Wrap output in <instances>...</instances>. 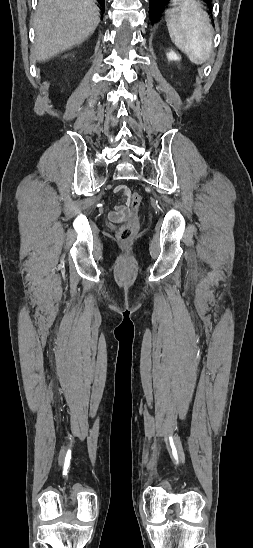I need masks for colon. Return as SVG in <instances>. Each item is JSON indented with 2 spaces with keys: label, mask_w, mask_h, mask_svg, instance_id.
Returning <instances> with one entry per match:
<instances>
[{
  "label": "colon",
  "mask_w": 253,
  "mask_h": 548,
  "mask_svg": "<svg viewBox=\"0 0 253 548\" xmlns=\"http://www.w3.org/2000/svg\"><path fill=\"white\" fill-rule=\"evenodd\" d=\"M131 206L134 209H137L142 202V196L135 192L131 195L130 198ZM135 232V224L134 223H127L120 227L117 237L122 243H130L134 237Z\"/></svg>",
  "instance_id": "colon-1"
}]
</instances>
